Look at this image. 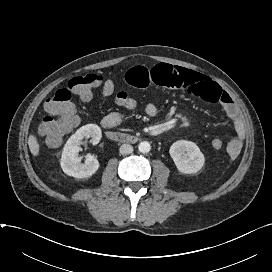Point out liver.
Wrapping results in <instances>:
<instances>
[{
  "label": "liver",
  "instance_id": "1",
  "mask_svg": "<svg viewBox=\"0 0 272 272\" xmlns=\"http://www.w3.org/2000/svg\"><path fill=\"white\" fill-rule=\"evenodd\" d=\"M28 145L30 152L33 156H38L40 151V145L38 143L37 138L34 135H30L28 139Z\"/></svg>",
  "mask_w": 272,
  "mask_h": 272
}]
</instances>
